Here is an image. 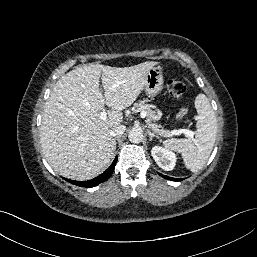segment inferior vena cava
<instances>
[{
    "label": "inferior vena cava",
    "instance_id": "obj_1",
    "mask_svg": "<svg viewBox=\"0 0 257 257\" xmlns=\"http://www.w3.org/2000/svg\"><path fill=\"white\" fill-rule=\"evenodd\" d=\"M126 127L123 125H119L115 127L113 130L110 132V136L115 137L123 134L125 132Z\"/></svg>",
    "mask_w": 257,
    "mask_h": 257
}]
</instances>
